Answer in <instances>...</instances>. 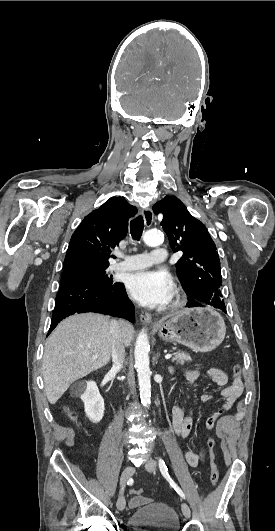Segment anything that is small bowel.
<instances>
[{
    "label": "small bowel",
    "instance_id": "1",
    "mask_svg": "<svg viewBox=\"0 0 275 531\" xmlns=\"http://www.w3.org/2000/svg\"><path fill=\"white\" fill-rule=\"evenodd\" d=\"M208 374L217 386L224 387L221 391V396L224 398L222 407L211 414L205 422L206 428L212 429L222 414L234 406L243 391V383L240 377H234L229 382L225 372L218 368L209 369ZM184 375L190 385H194L200 378V372L197 370H185ZM213 398L212 394L204 393L201 395L200 400L207 403L211 402ZM172 427L174 433L180 438H187L190 435L193 428V416L192 414L185 413L184 405H176L173 407ZM206 454V448L201 446L198 451H186L184 457L188 465L197 467L204 464ZM148 503L149 500L147 498L135 495L130 499L129 507L131 509H137Z\"/></svg>",
    "mask_w": 275,
    "mask_h": 531
}]
</instances>
